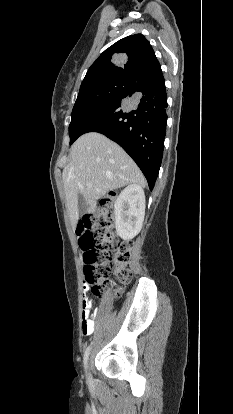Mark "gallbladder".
Returning <instances> with one entry per match:
<instances>
[{"label":"gallbladder","instance_id":"gallbladder-1","mask_svg":"<svg viewBox=\"0 0 233 414\" xmlns=\"http://www.w3.org/2000/svg\"><path fill=\"white\" fill-rule=\"evenodd\" d=\"M87 212H88V203L82 195H79V198H78V213H79V216H83Z\"/></svg>","mask_w":233,"mask_h":414}]
</instances>
